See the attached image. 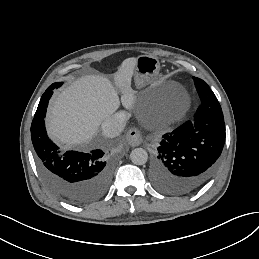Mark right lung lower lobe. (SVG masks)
<instances>
[{
    "mask_svg": "<svg viewBox=\"0 0 259 259\" xmlns=\"http://www.w3.org/2000/svg\"><path fill=\"white\" fill-rule=\"evenodd\" d=\"M53 90L46 91L39 102L31 124V139L37 154L40 175L58 197L75 205L91 203L102 197L112 179V166L104 151L91 153L67 151L48 138L44 118Z\"/></svg>",
    "mask_w": 259,
    "mask_h": 259,
    "instance_id": "1",
    "label": "right lung lower lobe"
}]
</instances>
